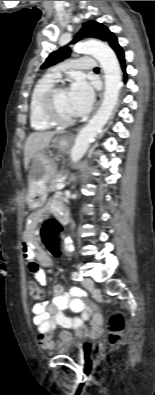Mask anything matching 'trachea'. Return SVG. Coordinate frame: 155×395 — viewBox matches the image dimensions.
<instances>
[{
  "mask_svg": "<svg viewBox=\"0 0 155 395\" xmlns=\"http://www.w3.org/2000/svg\"><path fill=\"white\" fill-rule=\"evenodd\" d=\"M95 70H99V68H95Z\"/></svg>",
  "mask_w": 155,
  "mask_h": 395,
  "instance_id": "obj_1",
  "label": "trachea"
}]
</instances>
